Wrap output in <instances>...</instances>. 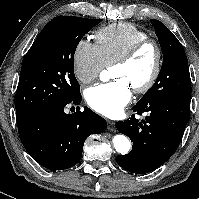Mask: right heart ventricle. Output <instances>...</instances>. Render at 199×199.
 Masks as SVG:
<instances>
[{
    "label": "right heart ventricle",
    "instance_id": "right-heart-ventricle-1",
    "mask_svg": "<svg viewBox=\"0 0 199 199\" xmlns=\"http://www.w3.org/2000/svg\"><path fill=\"white\" fill-rule=\"evenodd\" d=\"M95 38L105 65H111L135 43L147 39L148 35L134 24L123 22L101 28Z\"/></svg>",
    "mask_w": 199,
    "mask_h": 199
}]
</instances>
